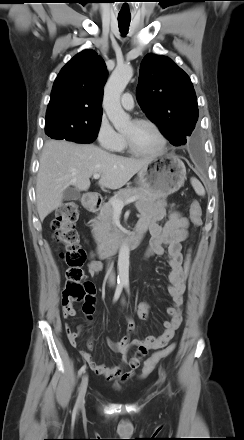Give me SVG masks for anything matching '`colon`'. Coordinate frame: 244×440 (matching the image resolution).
Segmentation results:
<instances>
[{"instance_id": "colon-1", "label": "colon", "mask_w": 244, "mask_h": 440, "mask_svg": "<svg viewBox=\"0 0 244 440\" xmlns=\"http://www.w3.org/2000/svg\"><path fill=\"white\" fill-rule=\"evenodd\" d=\"M78 217V205L73 202L62 204L56 211L51 222L53 238L64 247L62 257L68 268L65 274L63 290V314L75 315V305L82 302L83 308L90 310L94 304L95 292L92 283L84 280L82 266L86 260V252L80 247V237L75 228ZM190 219L194 226L202 223V208L198 201L194 200L190 205ZM191 248H188L183 261V276L186 280L191 268ZM175 350V344H171L151 355L144 363L140 378H146L156 367L158 362L169 356ZM147 353L145 347L137 349L136 354L144 357Z\"/></svg>"}]
</instances>
